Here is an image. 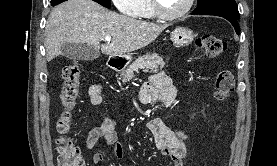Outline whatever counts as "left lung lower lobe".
<instances>
[{
  "instance_id": "obj_1",
  "label": "left lung lower lobe",
  "mask_w": 277,
  "mask_h": 166,
  "mask_svg": "<svg viewBox=\"0 0 277 166\" xmlns=\"http://www.w3.org/2000/svg\"><path fill=\"white\" fill-rule=\"evenodd\" d=\"M220 17H223V18L227 19L234 26L236 33L239 34L240 27H239V24L237 22V19L227 17V16H220Z\"/></svg>"
}]
</instances>
